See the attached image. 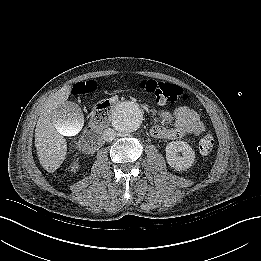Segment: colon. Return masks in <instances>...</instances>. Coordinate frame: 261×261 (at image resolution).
<instances>
[{
    "label": "colon",
    "mask_w": 261,
    "mask_h": 261,
    "mask_svg": "<svg viewBox=\"0 0 261 261\" xmlns=\"http://www.w3.org/2000/svg\"><path fill=\"white\" fill-rule=\"evenodd\" d=\"M138 87L156 103L164 104L166 102H176L180 100H188V95L184 90L175 84L156 81L153 79H144L138 83ZM97 85L93 81L80 83L74 88L75 94H88L95 91ZM111 105L108 101L98 103L92 110V117L96 121L105 120L109 114ZM214 146V137L208 132L199 141V149L201 153H209Z\"/></svg>",
    "instance_id": "colon-1"
}]
</instances>
